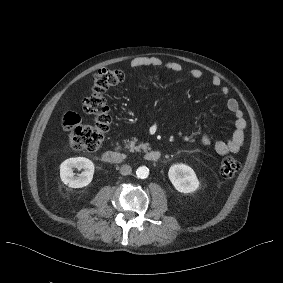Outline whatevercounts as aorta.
<instances>
[{"label": "aorta", "mask_w": 283, "mask_h": 283, "mask_svg": "<svg viewBox=\"0 0 283 283\" xmlns=\"http://www.w3.org/2000/svg\"><path fill=\"white\" fill-rule=\"evenodd\" d=\"M136 175L140 179H145L149 176V169L146 166L138 167Z\"/></svg>", "instance_id": "1"}]
</instances>
